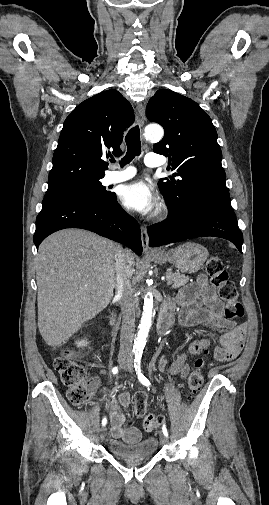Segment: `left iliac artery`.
<instances>
[{
  "label": "left iliac artery",
  "mask_w": 269,
  "mask_h": 505,
  "mask_svg": "<svg viewBox=\"0 0 269 505\" xmlns=\"http://www.w3.org/2000/svg\"><path fill=\"white\" fill-rule=\"evenodd\" d=\"M141 357H142V353H137L135 355L134 367H135L136 374L138 376L140 383H142L144 386L149 387L151 384L141 371ZM162 431H163V434L168 437V431H167L165 424H163V426H162Z\"/></svg>",
  "instance_id": "44dca946"
}]
</instances>
